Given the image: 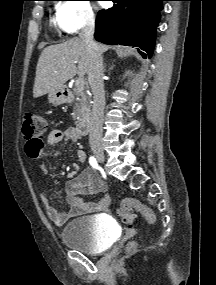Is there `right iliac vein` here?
<instances>
[{"label": "right iliac vein", "instance_id": "right-iliac-vein-1", "mask_svg": "<svg viewBox=\"0 0 216 285\" xmlns=\"http://www.w3.org/2000/svg\"><path fill=\"white\" fill-rule=\"evenodd\" d=\"M93 153H94V155L96 156L97 160L100 163H104L105 155H104V152H103L102 148H100V147H93Z\"/></svg>", "mask_w": 216, "mask_h": 285}]
</instances>
